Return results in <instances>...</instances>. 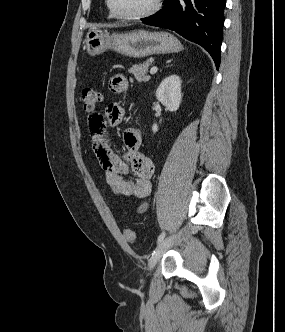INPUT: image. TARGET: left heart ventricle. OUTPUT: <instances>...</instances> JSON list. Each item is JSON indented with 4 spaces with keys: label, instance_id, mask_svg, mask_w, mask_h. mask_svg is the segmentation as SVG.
Instances as JSON below:
<instances>
[{
    "label": "left heart ventricle",
    "instance_id": "1",
    "mask_svg": "<svg viewBox=\"0 0 285 332\" xmlns=\"http://www.w3.org/2000/svg\"><path fill=\"white\" fill-rule=\"evenodd\" d=\"M113 8L122 15H135L149 10L155 0H111Z\"/></svg>",
    "mask_w": 285,
    "mask_h": 332
}]
</instances>
